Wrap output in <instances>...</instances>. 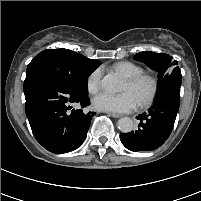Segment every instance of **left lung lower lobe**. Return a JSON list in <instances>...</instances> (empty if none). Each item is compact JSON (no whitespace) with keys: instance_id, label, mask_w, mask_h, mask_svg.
I'll list each match as a JSON object with an SVG mask.
<instances>
[{"instance_id":"0a47b994","label":"left lung lower lobe","mask_w":201,"mask_h":201,"mask_svg":"<svg viewBox=\"0 0 201 201\" xmlns=\"http://www.w3.org/2000/svg\"><path fill=\"white\" fill-rule=\"evenodd\" d=\"M180 89L170 88L157 96L147 113L137 117L138 129L120 134L122 144L133 152L150 151L160 147L172 132L179 110Z\"/></svg>"}]
</instances>
